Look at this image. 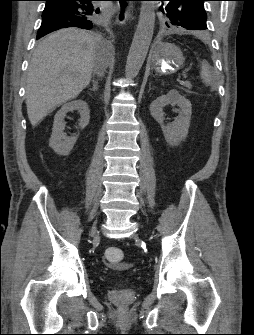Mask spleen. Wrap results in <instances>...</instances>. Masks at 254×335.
<instances>
[{"instance_id":"spleen-1","label":"spleen","mask_w":254,"mask_h":335,"mask_svg":"<svg viewBox=\"0 0 254 335\" xmlns=\"http://www.w3.org/2000/svg\"><path fill=\"white\" fill-rule=\"evenodd\" d=\"M200 77L206 85H211L213 82L211 68L206 61H202L200 68Z\"/></svg>"}]
</instances>
